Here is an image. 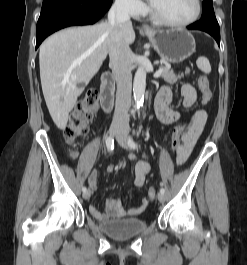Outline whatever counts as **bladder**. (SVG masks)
Instances as JSON below:
<instances>
[{"label": "bladder", "instance_id": "bladder-1", "mask_svg": "<svg viewBox=\"0 0 247 265\" xmlns=\"http://www.w3.org/2000/svg\"><path fill=\"white\" fill-rule=\"evenodd\" d=\"M100 230L116 240H127L147 228V223L139 218L105 220L98 224Z\"/></svg>", "mask_w": 247, "mask_h": 265}]
</instances>
